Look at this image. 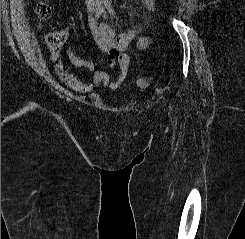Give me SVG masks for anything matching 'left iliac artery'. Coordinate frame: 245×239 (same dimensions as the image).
<instances>
[{
  "instance_id": "left-iliac-artery-1",
  "label": "left iliac artery",
  "mask_w": 245,
  "mask_h": 239,
  "mask_svg": "<svg viewBox=\"0 0 245 239\" xmlns=\"http://www.w3.org/2000/svg\"><path fill=\"white\" fill-rule=\"evenodd\" d=\"M105 7H106L107 11L109 12V14H111L114 18H117L116 12H115L112 4L108 0L105 1Z\"/></svg>"
}]
</instances>
